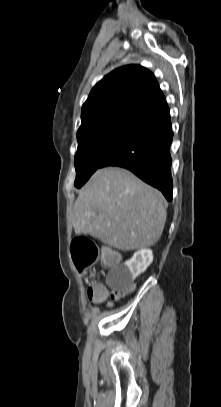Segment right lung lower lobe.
Wrapping results in <instances>:
<instances>
[{
  "label": "right lung lower lobe",
  "mask_w": 221,
  "mask_h": 407,
  "mask_svg": "<svg viewBox=\"0 0 221 407\" xmlns=\"http://www.w3.org/2000/svg\"><path fill=\"white\" fill-rule=\"evenodd\" d=\"M172 127L166 106L138 125L136 130L102 163L123 167L146 183L159 189L168 201L172 200L171 178Z\"/></svg>",
  "instance_id": "98d812e1"
}]
</instances>
